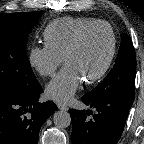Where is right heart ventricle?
<instances>
[{
    "label": "right heart ventricle",
    "mask_w": 144,
    "mask_h": 144,
    "mask_svg": "<svg viewBox=\"0 0 144 144\" xmlns=\"http://www.w3.org/2000/svg\"><path fill=\"white\" fill-rule=\"evenodd\" d=\"M100 20L88 17H62L50 22L44 29V43L55 53L64 57L67 48L84 27Z\"/></svg>",
    "instance_id": "obj_1"
}]
</instances>
